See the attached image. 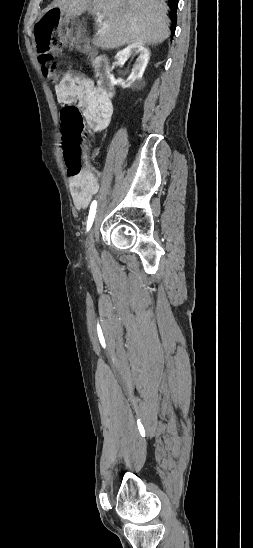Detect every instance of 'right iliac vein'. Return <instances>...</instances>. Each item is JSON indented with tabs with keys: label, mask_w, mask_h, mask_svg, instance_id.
<instances>
[{
	"label": "right iliac vein",
	"mask_w": 253,
	"mask_h": 548,
	"mask_svg": "<svg viewBox=\"0 0 253 548\" xmlns=\"http://www.w3.org/2000/svg\"><path fill=\"white\" fill-rule=\"evenodd\" d=\"M85 247H86V252H87L88 257L91 260L95 259L96 250H95V246H94V228L91 229V231L89 232V234L87 236Z\"/></svg>",
	"instance_id": "obj_1"
}]
</instances>
